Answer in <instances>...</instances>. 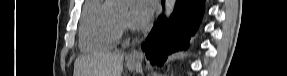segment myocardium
<instances>
[{
  "instance_id": "myocardium-1",
  "label": "myocardium",
  "mask_w": 287,
  "mask_h": 76,
  "mask_svg": "<svg viewBox=\"0 0 287 76\" xmlns=\"http://www.w3.org/2000/svg\"><path fill=\"white\" fill-rule=\"evenodd\" d=\"M113 18H114L115 25L120 32L129 31L127 22L120 20L115 14H113Z\"/></svg>"
}]
</instances>
